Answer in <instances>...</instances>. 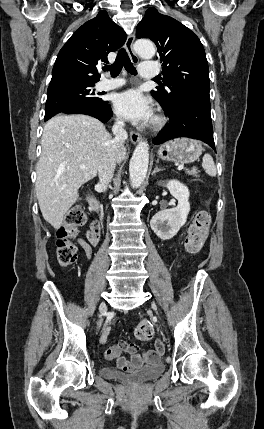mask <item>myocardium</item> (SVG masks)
<instances>
[{
	"label": "myocardium",
	"instance_id": "1",
	"mask_svg": "<svg viewBox=\"0 0 264 429\" xmlns=\"http://www.w3.org/2000/svg\"><path fill=\"white\" fill-rule=\"evenodd\" d=\"M163 124H164V118L161 116H158L152 122V128L157 130V129L161 128L163 126Z\"/></svg>",
	"mask_w": 264,
	"mask_h": 429
}]
</instances>
